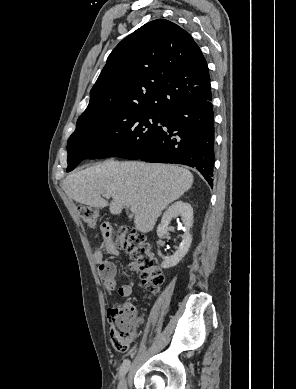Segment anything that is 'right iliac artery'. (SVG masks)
<instances>
[{
	"mask_svg": "<svg viewBox=\"0 0 296 389\" xmlns=\"http://www.w3.org/2000/svg\"><path fill=\"white\" fill-rule=\"evenodd\" d=\"M129 368H130V361L128 359H126V360H124V362L120 368V372H119L120 376L123 377L127 373V371L129 370Z\"/></svg>",
	"mask_w": 296,
	"mask_h": 389,
	"instance_id": "obj_1",
	"label": "right iliac artery"
}]
</instances>
